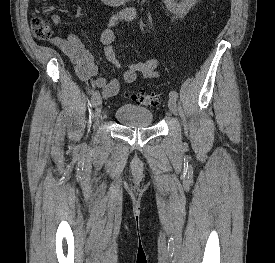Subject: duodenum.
Wrapping results in <instances>:
<instances>
[{"mask_svg":"<svg viewBox=\"0 0 275 263\" xmlns=\"http://www.w3.org/2000/svg\"><path fill=\"white\" fill-rule=\"evenodd\" d=\"M107 6H118L131 0H101Z\"/></svg>","mask_w":275,"mask_h":263,"instance_id":"1","label":"duodenum"}]
</instances>
